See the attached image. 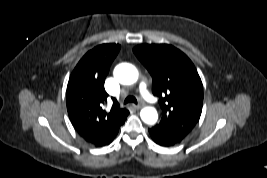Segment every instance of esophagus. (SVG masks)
I'll return each mask as SVG.
<instances>
[{
    "mask_svg": "<svg viewBox=\"0 0 267 178\" xmlns=\"http://www.w3.org/2000/svg\"><path fill=\"white\" fill-rule=\"evenodd\" d=\"M144 104L142 102H140L138 105H134V107L136 109H140Z\"/></svg>",
    "mask_w": 267,
    "mask_h": 178,
    "instance_id": "1",
    "label": "esophagus"
}]
</instances>
